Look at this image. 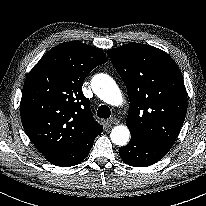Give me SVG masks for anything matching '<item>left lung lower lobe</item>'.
I'll use <instances>...</instances> for the list:
<instances>
[{"label": "left lung lower lobe", "mask_w": 206, "mask_h": 206, "mask_svg": "<svg viewBox=\"0 0 206 206\" xmlns=\"http://www.w3.org/2000/svg\"><path fill=\"white\" fill-rule=\"evenodd\" d=\"M172 146L131 135L129 144L120 148L122 160L134 167H146L158 162Z\"/></svg>", "instance_id": "1"}]
</instances>
